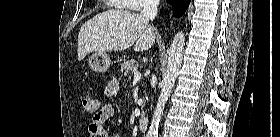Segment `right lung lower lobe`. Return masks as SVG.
I'll use <instances>...</instances> for the list:
<instances>
[{"mask_svg":"<svg viewBox=\"0 0 280 137\" xmlns=\"http://www.w3.org/2000/svg\"><path fill=\"white\" fill-rule=\"evenodd\" d=\"M191 0H167L173 6V12L176 17L182 16L189 6Z\"/></svg>","mask_w":280,"mask_h":137,"instance_id":"1","label":"right lung lower lobe"}]
</instances>
